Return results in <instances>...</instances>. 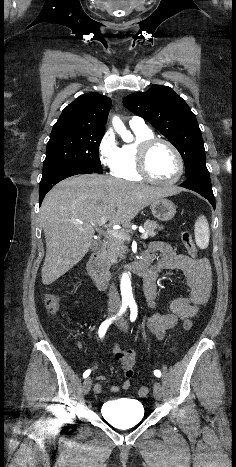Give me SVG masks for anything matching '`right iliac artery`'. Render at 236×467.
Returning a JSON list of instances; mask_svg holds the SVG:
<instances>
[{
	"label": "right iliac artery",
	"instance_id": "82829eb1",
	"mask_svg": "<svg viewBox=\"0 0 236 467\" xmlns=\"http://www.w3.org/2000/svg\"><path fill=\"white\" fill-rule=\"evenodd\" d=\"M128 305H129L128 303H122V306H121L119 312L117 313V315H115V316H113V317H111V318H109V319H106V320L100 325L99 330H98V334H99V337H100V338H103V337H104V335H105V333H106L108 327L110 326V324H111L115 319H117V317L121 316V315L126 311ZM90 373H91V370H90V369L86 370V371L83 373V378H87V377L90 375Z\"/></svg>",
	"mask_w": 236,
	"mask_h": 467
}]
</instances>
